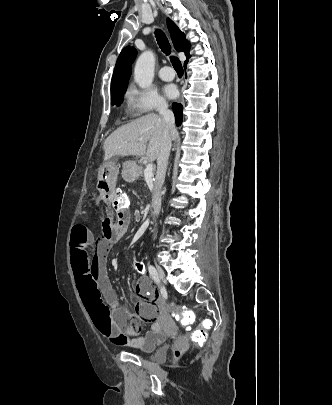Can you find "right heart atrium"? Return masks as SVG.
Here are the masks:
<instances>
[{"mask_svg":"<svg viewBox=\"0 0 332 405\" xmlns=\"http://www.w3.org/2000/svg\"><path fill=\"white\" fill-rule=\"evenodd\" d=\"M129 106L135 115L143 116L164 110L167 107V101L155 89L131 87Z\"/></svg>","mask_w":332,"mask_h":405,"instance_id":"obj_1","label":"right heart atrium"}]
</instances>
